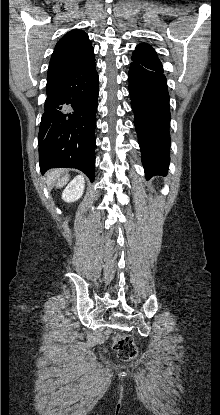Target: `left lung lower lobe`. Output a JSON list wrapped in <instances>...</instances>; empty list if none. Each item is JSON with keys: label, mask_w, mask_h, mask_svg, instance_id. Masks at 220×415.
<instances>
[{"label": "left lung lower lobe", "mask_w": 220, "mask_h": 415, "mask_svg": "<svg viewBox=\"0 0 220 415\" xmlns=\"http://www.w3.org/2000/svg\"><path fill=\"white\" fill-rule=\"evenodd\" d=\"M128 72L134 125L147 177L165 175L170 157V109L167 80L159 59L132 57Z\"/></svg>", "instance_id": "1"}]
</instances>
